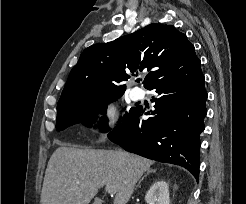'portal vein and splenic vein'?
Listing matches in <instances>:
<instances>
[{"label": "portal vein and splenic vein", "mask_w": 246, "mask_h": 204, "mask_svg": "<svg viewBox=\"0 0 246 204\" xmlns=\"http://www.w3.org/2000/svg\"><path fill=\"white\" fill-rule=\"evenodd\" d=\"M105 190H106L108 193H110V194H112V193L115 192L114 188H113L112 186H109V185H106V186H105Z\"/></svg>", "instance_id": "obj_1"}]
</instances>
